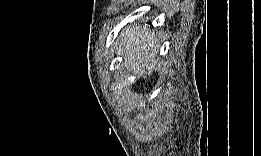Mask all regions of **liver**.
Instances as JSON below:
<instances>
[{
	"label": "liver",
	"instance_id": "liver-1",
	"mask_svg": "<svg viewBox=\"0 0 261 156\" xmlns=\"http://www.w3.org/2000/svg\"><path fill=\"white\" fill-rule=\"evenodd\" d=\"M124 53V64L127 69L134 74H146L145 69H149L148 74L156 64L155 53L157 50L153 36L140 27L124 29L117 41Z\"/></svg>",
	"mask_w": 261,
	"mask_h": 156
}]
</instances>
